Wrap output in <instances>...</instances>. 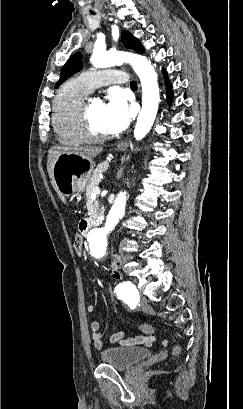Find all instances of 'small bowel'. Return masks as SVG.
Listing matches in <instances>:
<instances>
[{
	"instance_id": "small-bowel-1",
	"label": "small bowel",
	"mask_w": 243,
	"mask_h": 409,
	"mask_svg": "<svg viewBox=\"0 0 243 409\" xmlns=\"http://www.w3.org/2000/svg\"><path fill=\"white\" fill-rule=\"evenodd\" d=\"M82 224V222H81ZM109 276L111 279H119L120 278V272L118 270V265L117 262H113ZM88 312L92 313L95 311V306L94 305H89L87 308ZM91 332H92V338L94 341V345L96 348L101 349L105 345V338L104 335L100 332V324L97 321H93L91 323ZM155 338L151 334H146V335H141V336H136L133 338H124V333L122 331H118L114 333L109 341L111 343H119L122 346H149L152 345L154 342Z\"/></svg>"
}]
</instances>
